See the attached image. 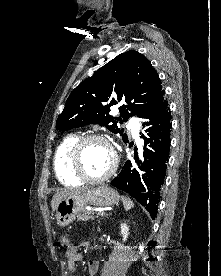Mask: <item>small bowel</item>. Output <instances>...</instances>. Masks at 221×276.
<instances>
[{
  "mask_svg": "<svg viewBox=\"0 0 221 276\" xmlns=\"http://www.w3.org/2000/svg\"><path fill=\"white\" fill-rule=\"evenodd\" d=\"M89 245L88 242H83L81 246L87 247ZM82 259V254L80 253L77 246H71L67 249L66 252V264L69 270H74L75 265L78 261ZM99 268V263L96 260H89L88 261V272L90 276H94Z\"/></svg>",
  "mask_w": 221,
  "mask_h": 276,
  "instance_id": "obj_1",
  "label": "small bowel"
}]
</instances>
